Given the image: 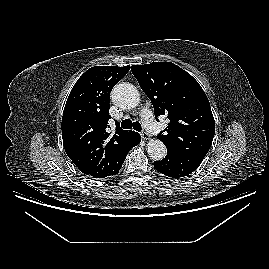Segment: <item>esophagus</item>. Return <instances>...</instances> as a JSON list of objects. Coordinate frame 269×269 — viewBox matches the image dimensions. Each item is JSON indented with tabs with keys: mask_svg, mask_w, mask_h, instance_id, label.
Wrapping results in <instances>:
<instances>
[{
	"mask_svg": "<svg viewBox=\"0 0 269 269\" xmlns=\"http://www.w3.org/2000/svg\"><path fill=\"white\" fill-rule=\"evenodd\" d=\"M141 137H142L143 140H149L150 139V135L146 131L141 132Z\"/></svg>",
	"mask_w": 269,
	"mask_h": 269,
	"instance_id": "1",
	"label": "esophagus"
}]
</instances>
